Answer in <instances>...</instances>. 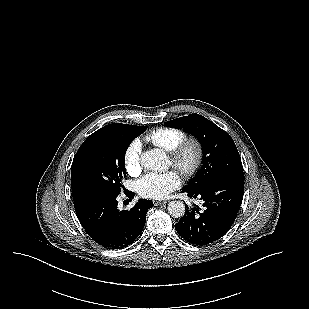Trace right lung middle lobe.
I'll list each match as a JSON object with an SVG mask.
<instances>
[{
    "instance_id": "right-lung-middle-lobe-1",
    "label": "right lung middle lobe",
    "mask_w": 309,
    "mask_h": 309,
    "mask_svg": "<svg viewBox=\"0 0 309 309\" xmlns=\"http://www.w3.org/2000/svg\"><path fill=\"white\" fill-rule=\"evenodd\" d=\"M146 129V126L115 123L106 132L89 139L78 150L72 164L75 192L84 197L119 195L126 175V150Z\"/></svg>"
}]
</instances>
